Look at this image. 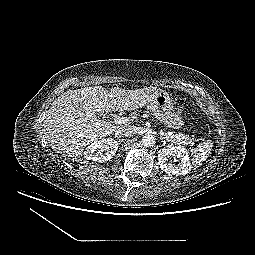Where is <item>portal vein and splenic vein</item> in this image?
Listing matches in <instances>:
<instances>
[{"label":"portal vein and splenic vein","mask_w":255,"mask_h":255,"mask_svg":"<svg viewBox=\"0 0 255 255\" xmlns=\"http://www.w3.org/2000/svg\"><path fill=\"white\" fill-rule=\"evenodd\" d=\"M113 122L115 124H126L127 122H129V118L128 117H115L113 119ZM161 134L163 135L164 133L162 132Z\"/></svg>","instance_id":"obj_1"}]
</instances>
